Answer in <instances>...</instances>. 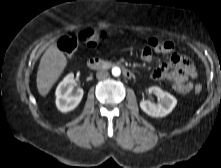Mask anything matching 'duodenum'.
<instances>
[{"label":"duodenum","mask_w":221,"mask_h":168,"mask_svg":"<svg viewBox=\"0 0 221 168\" xmlns=\"http://www.w3.org/2000/svg\"><path fill=\"white\" fill-rule=\"evenodd\" d=\"M87 66L92 70H100V69H104L106 67L118 66L121 68L123 75L126 78L131 79L134 77V73L129 68L125 67L124 65L119 64V63H107L99 58L93 57V58L88 59Z\"/></svg>","instance_id":"duodenum-1"}]
</instances>
